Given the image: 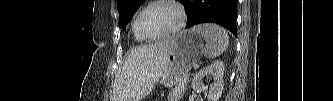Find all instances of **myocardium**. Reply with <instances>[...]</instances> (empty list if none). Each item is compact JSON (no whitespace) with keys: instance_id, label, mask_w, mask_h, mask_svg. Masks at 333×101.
Wrapping results in <instances>:
<instances>
[{"instance_id":"myocardium-1","label":"myocardium","mask_w":333,"mask_h":101,"mask_svg":"<svg viewBox=\"0 0 333 101\" xmlns=\"http://www.w3.org/2000/svg\"><path fill=\"white\" fill-rule=\"evenodd\" d=\"M158 4H166V5H170V6L174 7L179 15V22H178L177 26L170 32L159 35V36L151 37L144 33V31L141 28L140 21H141L142 15L144 14V12L146 10H148L152 6H155ZM185 23H186V12H185L183 6L179 2L174 1V0H158V1L150 2L148 5H146L144 8H142L139 11V13L137 14V16L135 18V28H136L137 33L144 40H150V41L165 39V38H168V37H171V36L177 34L184 27Z\"/></svg>"}]
</instances>
